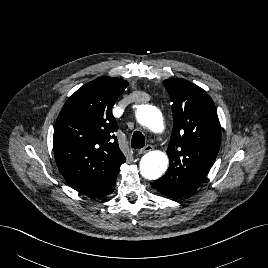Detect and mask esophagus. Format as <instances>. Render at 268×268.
<instances>
[{"label": "esophagus", "instance_id": "esophagus-1", "mask_svg": "<svg viewBox=\"0 0 268 268\" xmlns=\"http://www.w3.org/2000/svg\"><path fill=\"white\" fill-rule=\"evenodd\" d=\"M152 149H153V146L150 145V144H148V145H146L144 148H142L141 150H139L138 153H139V154H145V153L151 151Z\"/></svg>", "mask_w": 268, "mask_h": 268}]
</instances>
